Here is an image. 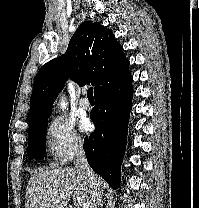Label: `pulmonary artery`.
<instances>
[{"label":"pulmonary artery","mask_w":199,"mask_h":208,"mask_svg":"<svg viewBox=\"0 0 199 208\" xmlns=\"http://www.w3.org/2000/svg\"><path fill=\"white\" fill-rule=\"evenodd\" d=\"M79 105L82 109H89L90 108V102L88 100V97L86 95V93H83V96L81 97L80 101H79Z\"/></svg>","instance_id":"e3ab8cb5"}]
</instances>
